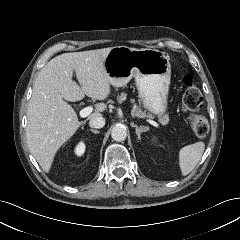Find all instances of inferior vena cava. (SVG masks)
I'll use <instances>...</instances> for the list:
<instances>
[{"mask_svg":"<svg viewBox=\"0 0 240 240\" xmlns=\"http://www.w3.org/2000/svg\"><path fill=\"white\" fill-rule=\"evenodd\" d=\"M105 125V119L101 115L93 116L89 121V126L91 128H102Z\"/></svg>","mask_w":240,"mask_h":240,"instance_id":"inferior-vena-cava-1","label":"inferior vena cava"}]
</instances>
